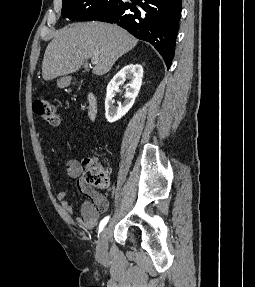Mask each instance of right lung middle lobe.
<instances>
[{
    "instance_id": "1",
    "label": "right lung middle lobe",
    "mask_w": 255,
    "mask_h": 287,
    "mask_svg": "<svg viewBox=\"0 0 255 287\" xmlns=\"http://www.w3.org/2000/svg\"><path fill=\"white\" fill-rule=\"evenodd\" d=\"M122 0H63L62 16L74 21L98 20Z\"/></svg>"
}]
</instances>
